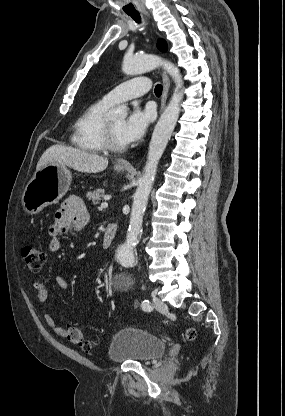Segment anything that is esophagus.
<instances>
[{"label":"esophagus","mask_w":285,"mask_h":416,"mask_svg":"<svg viewBox=\"0 0 285 416\" xmlns=\"http://www.w3.org/2000/svg\"><path fill=\"white\" fill-rule=\"evenodd\" d=\"M144 14L149 15L148 12H144ZM162 80H163V93H162V98H161L160 112L164 109L166 105L167 95H168L169 86H170L169 78L165 71H162ZM118 164L123 165V166H128V167L131 166L129 161L124 160V159L119 160Z\"/></svg>","instance_id":"34e87169"}]
</instances>
